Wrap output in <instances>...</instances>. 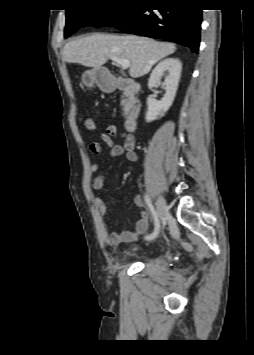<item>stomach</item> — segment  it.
<instances>
[{"instance_id": "0dacf381", "label": "stomach", "mask_w": 254, "mask_h": 355, "mask_svg": "<svg viewBox=\"0 0 254 355\" xmlns=\"http://www.w3.org/2000/svg\"><path fill=\"white\" fill-rule=\"evenodd\" d=\"M82 81L87 87L97 85L103 90L112 89L114 82L104 68L87 70L82 75Z\"/></svg>"}]
</instances>
